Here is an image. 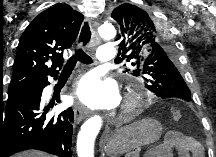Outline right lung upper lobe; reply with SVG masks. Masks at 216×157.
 I'll use <instances>...</instances> for the list:
<instances>
[{"label": "right lung upper lobe", "instance_id": "1", "mask_svg": "<svg viewBox=\"0 0 216 157\" xmlns=\"http://www.w3.org/2000/svg\"><path fill=\"white\" fill-rule=\"evenodd\" d=\"M83 19L68 4H57L36 16L20 38L9 92L57 75L64 62L62 51L74 43Z\"/></svg>", "mask_w": 216, "mask_h": 157}]
</instances>
